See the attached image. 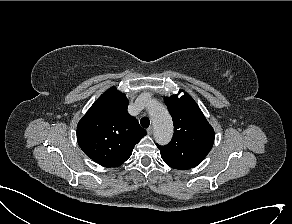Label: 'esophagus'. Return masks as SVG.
Returning <instances> with one entry per match:
<instances>
[{"label":"esophagus","mask_w":292,"mask_h":224,"mask_svg":"<svg viewBox=\"0 0 292 224\" xmlns=\"http://www.w3.org/2000/svg\"><path fill=\"white\" fill-rule=\"evenodd\" d=\"M153 127L152 126H150L148 129H147V133H148V135H152L153 134Z\"/></svg>","instance_id":"34e87169"}]
</instances>
